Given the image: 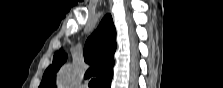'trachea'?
Wrapping results in <instances>:
<instances>
[{
  "mask_svg": "<svg viewBox=\"0 0 223 88\" xmlns=\"http://www.w3.org/2000/svg\"><path fill=\"white\" fill-rule=\"evenodd\" d=\"M95 84H96V80L91 79V81L89 82V88H94Z\"/></svg>",
  "mask_w": 223,
  "mask_h": 88,
  "instance_id": "1",
  "label": "trachea"
}]
</instances>
